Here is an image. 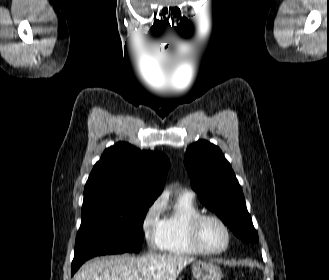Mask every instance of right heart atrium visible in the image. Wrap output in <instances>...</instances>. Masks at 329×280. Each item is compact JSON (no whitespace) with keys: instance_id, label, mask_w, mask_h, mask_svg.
I'll return each instance as SVG.
<instances>
[{"instance_id":"right-heart-atrium-1","label":"right heart atrium","mask_w":329,"mask_h":280,"mask_svg":"<svg viewBox=\"0 0 329 280\" xmlns=\"http://www.w3.org/2000/svg\"><path fill=\"white\" fill-rule=\"evenodd\" d=\"M164 206V197H157L147 206L141 219L144 239L148 246L153 249H160L163 241L165 231Z\"/></svg>"}]
</instances>
